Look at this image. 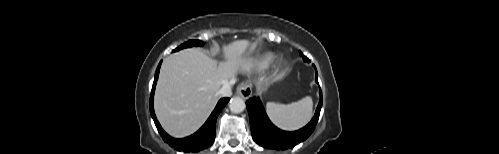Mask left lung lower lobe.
Listing matches in <instances>:
<instances>
[{
	"mask_svg": "<svg viewBox=\"0 0 499 154\" xmlns=\"http://www.w3.org/2000/svg\"><path fill=\"white\" fill-rule=\"evenodd\" d=\"M317 77L318 75L316 71L315 80L318 83ZM319 93L320 100L314 117L304 128L294 132H286L275 127L267 117L259 99L254 97L247 100L246 106L249 113L251 133L254 141L265 148L285 150L306 140L314 131L319 119L322 107L321 89Z\"/></svg>",
	"mask_w": 499,
	"mask_h": 154,
	"instance_id": "left-lung-lower-lobe-1",
	"label": "left lung lower lobe"
}]
</instances>
